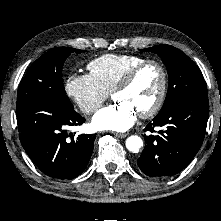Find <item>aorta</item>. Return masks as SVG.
<instances>
[{"mask_svg": "<svg viewBox=\"0 0 221 221\" xmlns=\"http://www.w3.org/2000/svg\"><path fill=\"white\" fill-rule=\"evenodd\" d=\"M125 145L129 151L138 153L140 148L143 146V141L139 136L132 135L126 139Z\"/></svg>", "mask_w": 221, "mask_h": 221, "instance_id": "aorta-1", "label": "aorta"}]
</instances>
